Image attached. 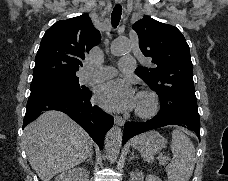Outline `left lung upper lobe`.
<instances>
[{
    "label": "left lung upper lobe",
    "instance_id": "obj_1",
    "mask_svg": "<svg viewBox=\"0 0 228 181\" xmlns=\"http://www.w3.org/2000/svg\"><path fill=\"white\" fill-rule=\"evenodd\" d=\"M141 52L151 67L135 73L159 96L163 117L189 116L199 119L189 46L174 26L144 16L133 25Z\"/></svg>",
    "mask_w": 228,
    "mask_h": 181
}]
</instances>
